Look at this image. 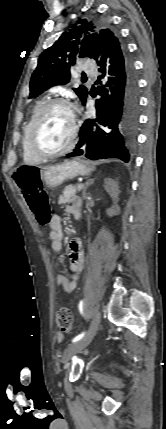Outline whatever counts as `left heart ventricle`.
I'll return each instance as SVG.
<instances>
[{
  "label": "left heart ventricle",
  "mask_w": 166,
  "mask_h": 429,
  "mask_svg": "<svg viewBox=\"0 0 166 429\" xmlns=\"http://www.w3.org/2000/svg\"><path fill=\"white\" fill-rule=\"evenodd\" d=\"M72 126L70 110L63 105L49 109L38 127L35 143L44 152H55L69 141Z\"/></svg>",
  "instance_id": "left-heart-ventricle-1"
}]
</instances>
